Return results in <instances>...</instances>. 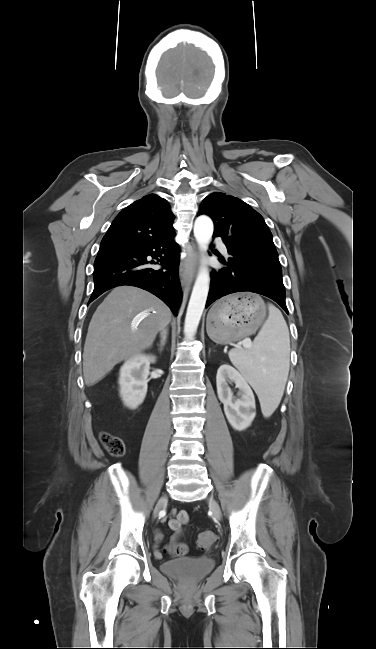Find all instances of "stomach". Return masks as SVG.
Wrapping results in <instances>:
<instances>
[{
    "mask_svg": "<svg viewBox=\"0 0 376 649\" xmlns=\"http://www.w3.org/2000/svg\"><path fill=\"white\" fill-rule=\"evenodd\" d=\"M266 317V305L253 293L233 294L209 311L207 333L217 344L238 341L254 333Z\"/></svg>",
    "mask_w": 376,
    "mask_h": 649,
    "instance_id": "1",
    "label": "stomach"
}]
</instances>
